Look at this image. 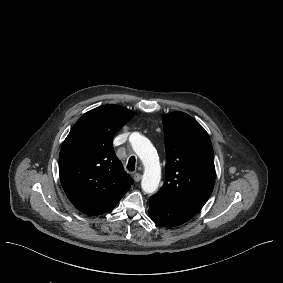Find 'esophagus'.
<instances>
[{
	"label": "esophagus",
	"instance_id": "esophagus-1",
	"mask_svg": "<svg viewBox=\"0 0 283 283\" xmlns=\"http://www.w3.org/2000/svg\"><path fill=\"white\" fill-rule=\"evenodd\" d=\"M141 179H142V175H141L140 173H135V174L133 175V180H134L135 182H139Z\"/></svg>",
	"mask_w": 283,
	"mask_h": 283
}]
</instances>
